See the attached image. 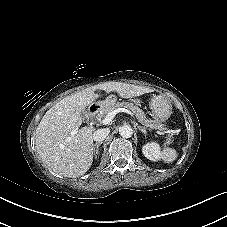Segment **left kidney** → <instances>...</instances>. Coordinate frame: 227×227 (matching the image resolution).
<instances>
[{
  "label": "left kidney",
  "instance_id": "obj_1",
  "mask_svg": "<svg viewBox=\"0 0 227 227\" xmlns=\"http://www.w3.org/2000/svg\"><path fill=\"white\" fill-rule=\"evenodd\" d=\"M142 152L144 156L151 160L157 161L160 159V146L156 142H148L142 147Z\"/></svg>",
  "mask_w": 227,
  "mask_h": 227
}]
</instances>
